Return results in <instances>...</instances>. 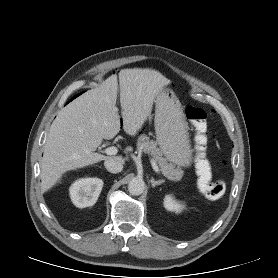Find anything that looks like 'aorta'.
I'll return each mask as SVG.
<instances>
[{
	"label": "aorta",
	"instance_id": "1",
	"mask_svg": "<svg viewBox=\"0 0 278 278\" xmlns=\"http://www.w3.org/2000/svg\"><path fill=\"white\" fill-rule=\"evenodd\" d=\"M145 189V183L140 178H133L128 184V190L132 195H141Z\"/></svg>",
	"mask_w": 278,
	"mask_h": 278
}]
</instances>
